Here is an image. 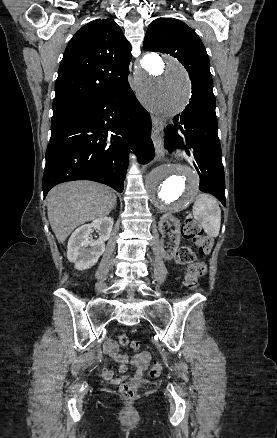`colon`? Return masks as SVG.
<instances>
[{
	"instance_id": "colon-1",
	"label": "colon",
	"mask_w": 277,
	"mask_h": 438,
	"mask_svg": "<svg viewBox=\"0 0 277 438\" xmlns=\"http://www.w3.org/2000/svg\"><path fill=\"white\" fill-rule=\"evenodd\" d=\"M182 235L191 240L196 249L203 253H207L212 248V240L205 234L203 226L192 219L186 220L181 226ZM176 261L187 267V275L184 283L189 289H196L199 286V278L204 276L207 272L206 265L195 259V252L188 246H182L178 248L175 254ZM119 342L122 345H130L133 348H137V342H129V339L125 335L119 337ZM162 367L159 363L154 364L149 375L151 377H158L161 373ZM119 395L124 398L126 402H133L135 398H143L144 390L137 389L133 380H125L123 386L120 389Z\"/></svg>"
}]
</instances>
